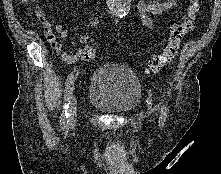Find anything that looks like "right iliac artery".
I'll return each mask as SVG.
<instances>
[{
	"mask_svg": "<svg viewBox=\"0 0 221 174\" xmlns=\"http://www.w3.org/2000/svg\"><path fill=\"white\" fill-rule=\"evenodd\" d=\"M78 76V71H73L67 78L65 83V93H64V105H63V114L61 115L60 123L65 128L69 122V105L72 98L73 88H74V81Z\"/></svg>",
	"mask_w": 221,
	"mask_h": 174,
	"instance_id": "1",
	"label": "right iliac artery"
}]
</instances>
